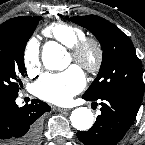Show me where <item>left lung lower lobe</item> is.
<instances>
[{
  "mask_svg": "<svg viewBox=\"0 0 145 145\" xmlns=\"http://www.w3.org/2000/svg\"><path fill=\"white\" fill-rule=\"evenodd\" d=\"M89 101H95L83 95ZM101 115L93 127L85 132H77L78 139L85 145H115L133 124L139 110L140 101L121 95L100 98Z\"/></svg>",
  "mask_w": 145,
  "mask_h": 145,
  "instance_id": "left-lung-lower-lobe-1",
  "label": "left lung lower lobe"
}]
</instances>
